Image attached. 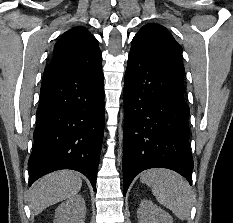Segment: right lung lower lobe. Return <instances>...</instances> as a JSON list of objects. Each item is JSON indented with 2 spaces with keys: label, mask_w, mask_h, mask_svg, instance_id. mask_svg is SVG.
<instances>
[{
  "label": "right lung lower lobe",
  "mask_w": 233,
  "mask_h": 223,
  "mask_svg": "<svg viewBox=\"0 0 233 223\" xmlns=\"http://www.w3.org/2000/svg\"><path fill=\"white\" fill-rule=\"evenodd\" d=\"M104 132L102 65L44 79L37 109L29 186L60 169L83 173L94 190Z\"/></svg>",
  "instance_id": "obj_1"
}]
</instances>
